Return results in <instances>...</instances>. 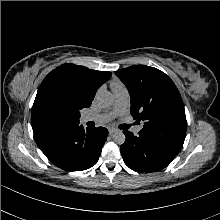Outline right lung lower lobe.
<instances>
[{
	"label": "right lung lower lobe",
	"mask_w": 220,
	"mask_h": 220,
	"mask_svg": "<svg viewBox=\"0 0 220 220\" xmlns=\"http://www.w3.org/2000/svg\"><path fill=\"white\" fill-rule=\"evenodd\" d=\"M108 136L104 127L81 125L50 128L34 133L38 147L57 167L67 171H81L95 165Z\"/></svg>",
	"instance_id": "1"
}]
</instances>
